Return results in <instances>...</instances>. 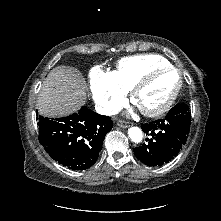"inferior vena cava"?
<instances>
[{"label": "inferior vena cava", "mask_w": 221, "mask_h": 221, "mask_svg": "<svg viewBox=\"0 0 221 221\" xmlns=\"http://www.w3.org/2000/svg\"><path fill=\"white\" fill-rule=\"evenodd\" d=\"M96 110L101 115H115L119 112V109L117 107L109 104L97 105Z\"/></svg>", "instance_id": "inferior-vena-cava-1"}]
</instances>
